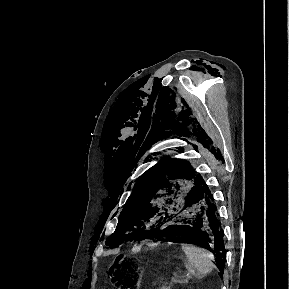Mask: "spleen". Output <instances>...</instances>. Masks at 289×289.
<instances>
[{
	"label": "spleen",
	"mask_w": 289,
	"mask_h": 289,
	"mask_svg": "<svg viewBox=\"0 0 289 289\" xmlns=\"http://www.w3.org/2000/svg\"><path fill=\"white\" fill-rule=\"evenodd\" d=\"M181 248L187 257L186 269L197 278H202L212 271V254L207 250L192 244H181Z\"/></svg>",
	"instance_id": "spleen-1"
}]
</instances>
